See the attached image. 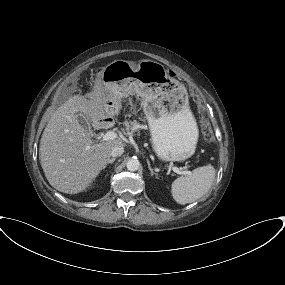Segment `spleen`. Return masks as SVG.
Wrapping results in <instances>:
<instances>
[{"mask_svg":"<svg viewBox=\"0 0 285 285\" xmlns=\"http://www.w3.org/2000/svg\"><path fill=\"white\" fill-rule=\"evenodd\" d=\"M215 174V168L208 164L196 168L187 176L177 178L171 184L174 200L181 205L198 200L210 190Z\"/></svg>","mask_w":285,"mask_h":285,"instance_id":"3e777b00","label":"spleen"}]
</instances>
